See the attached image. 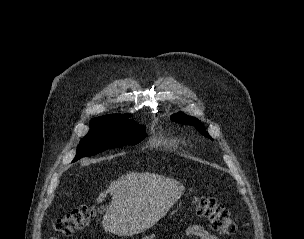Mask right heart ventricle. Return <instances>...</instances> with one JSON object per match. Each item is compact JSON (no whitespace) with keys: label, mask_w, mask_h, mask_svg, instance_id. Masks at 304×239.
<instances>
[{"label":"right heart ventricle","mask_w":304,"mask_h":239,"mask_svg":"<svg viewBox=\"0 0 304 239\" xmlns=\"http://www.w3.org/2000/svg\"><path fill=\"white\" fill-rule=\"evenodd\" d=\"M161 141L162 140H160V141L158 140V142H161ZM163 142H164V144H166V145H168V146H170L172 148H177V146L179 145V142L177 140H175V139L165 140Z\"/></svg>","instance_id":"right-heart-ventricle-1"}]
</instances>
